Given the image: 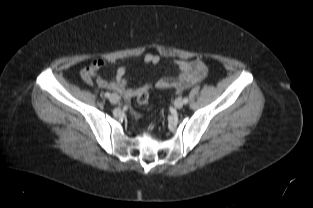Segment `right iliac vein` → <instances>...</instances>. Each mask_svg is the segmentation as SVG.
Returning <instances> with one entry per match:
<instances>
[{"label":"right iliac vein","mask_w":313,"mask_h":208,"mask_svg":"<svg viewBox=\"0 0 313 208\" xmlns=\"http://www.w3.org/2000/svg\"><path fill=\"white\" fill-rule=\"evenodd\" d=\"M110 102H111L112 104H117V103L119 102V96L116 95V94H112V95L110 96Z\"/></svg>","instance_id":"1"}]
</instances>
